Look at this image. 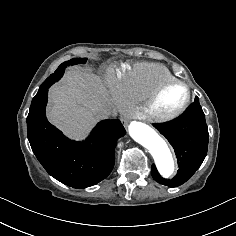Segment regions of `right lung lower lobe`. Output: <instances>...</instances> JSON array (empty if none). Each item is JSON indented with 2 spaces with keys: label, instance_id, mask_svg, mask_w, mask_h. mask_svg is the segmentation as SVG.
Segmentation results:
<instances>
[{
  "label": "right lung lower lobe",
  "instance_id": "98d812e1",
  "mask_svg": "<svg viewBox=\"0 0 236 236\" xmlns=\"http://www.w3.org/2000/svg\"><path fill=\"white\" fill-rule=\"evenodd\" d=\"M46 84L32 100L27 117L31 148L46 171L61 183L73 188L97 184L112 171L116 141L126 132L118 119L103 120L82 142L66 138L45 116L48 89Z\"/></svg>",
  "mask_w": 236,
  "mask_h": 236
}]
</instances>
